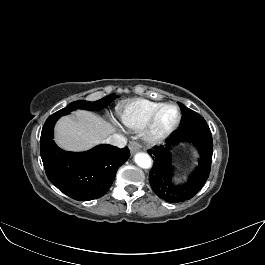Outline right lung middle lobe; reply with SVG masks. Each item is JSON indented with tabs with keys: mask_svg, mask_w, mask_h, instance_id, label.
<instances>
[{
	"mask_svg": "<svg viewBox=\"0 0 265 265\" xmlns=\"http://www.w3.org/2000/svg\"><path fill=\"white\" fill-rule=\"evenodd\" d=\"M116 98L115 94H110L100 100H97L95 102H88V101H74L70 103L65 108L57 111L55 114L60 115H66L70 112L77 110V109H88V110H100L104 107H106L111 101H113Z\"/></svg>",
	"mask_w": 265,
	"mask_h": 265,
	"instance_id": "right-lung-middle-lobe-1",
	"label": "right lung middle lobe"
}]
</instances>
